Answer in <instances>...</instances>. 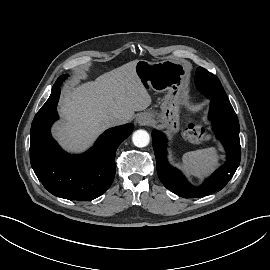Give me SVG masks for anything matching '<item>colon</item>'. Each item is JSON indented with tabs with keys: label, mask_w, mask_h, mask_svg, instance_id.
<instances>
[{
	"label": "colon",
	"mask_w": 270,
	"mask_h": 270,
	"mask_svg": "<svg viewBox=\"0 0 270 270\" xmlns=\"http://www.w3.org/2000/svg\"><path fill=\"white\" fill-rule=\"evenodd\" d=\"M186 136L190 141L198 144L207 143L210 140L207 131L196 121L188 123L186 127Z\"/></svg>",
	"instance_id": "5ec220e1"
}]
</instances>
